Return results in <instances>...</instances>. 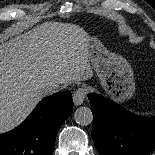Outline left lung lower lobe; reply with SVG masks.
Returning a JSON list of instances; mask_svg holds the SVG:
<instances>
[{
	"label": "left lung lower lobe",
	"instance_id": "0a47b994",
	"mask_svg": "<svg viewBox=\"0 0 155 155\" xmlns=\"http://www.w3.org/2000/svg\"><path fill=\"white\" fill-rule=\"evenodd\" d=\"M91 136L101 155H149L155 151V116L130 113L100 95L89 94Z\"/></svg>",
	"mask_w": 155,
	"mask_h": 155
}]
</instances>
